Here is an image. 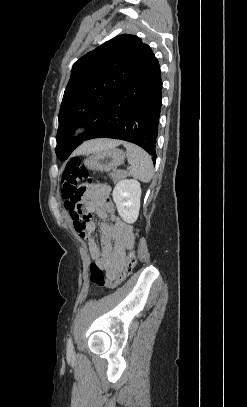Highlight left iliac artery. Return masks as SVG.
I'll list each match as a JSON object with an SVG mask.
<instances>
[{
	"instance_id": "1",
	"label": "left iliac artery",
	"mask_w": 247,
	"mask_h": 407,
	"mask_svg": "<svg viewBox=\"0 0 247 407\" xmlns=\"http://www.w3.org/2000/svg\"><path fill=\"white\" fill-rule=\"evenodd\" d=\"M67 351L72 352L73 351V343H72V339L69 338L68 342H67Z\"/></svg>"
}]
</instances>
